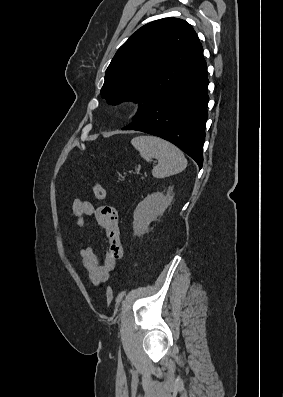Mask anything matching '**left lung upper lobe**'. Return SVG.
<instances>
[{"label": "left lung upper lobe", "mask_w": 283, "mask_h": 397, "mask_svg": "<svg viewBox=\"0 0 283 397\" xmlns=\"http://www.w3.org/2000/svg\"><path fill=\"white\" fill-rule=\"evenodd\" d=\"M205 63L190 24L174 17L156 20L139 28L118 49L106 70L101 96L113 105L137 102L135 120Z\"/></svg>", "instance_id": "obj_1"}]
</instances>
